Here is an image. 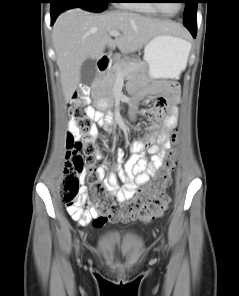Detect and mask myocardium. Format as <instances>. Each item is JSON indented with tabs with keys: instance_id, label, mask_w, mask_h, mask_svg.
<instances>
[{
	"instance_id": "1",
	"label": "myocardium",
	"mask_w": 239,
	"mask_h": 296,
	"mask_svg": "<svg viewBox=\"0 0 239 296\" xmlns=\"http://www.w3.org/2000/svg\"><path fill=\"white\" fill-rule=\"evenodd\" d=\"M151 1V5L161 14L165 15V16H169V15H173L174 13L178 12L179 9H180V4H179V7L178 9L173 12V13H167L165 12L162 7L160 6V4L157 2V0H150Z\"/></svg>"
}]
</instances>
